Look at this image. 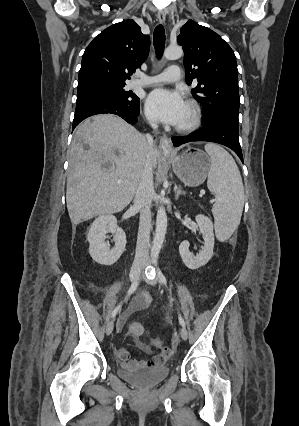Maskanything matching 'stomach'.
<instances>
[{
  "instance_id": "stomach-1",
  "label": "stomach",
  "mask_w": 299,
  "mask_h": 426,
  "mask_svg": "<svg viewBox=\"0 0 299 426\" xmlns=\"http://www.w3.org/2000/svg\"><path fill=\"white\" fill-rule=\"evenodd\" d=\"M176 176L190 187L199 186L208 176L211 159L203 151L189 147L181 155L166 156Z\"/></svg>"
}]
</instances>
